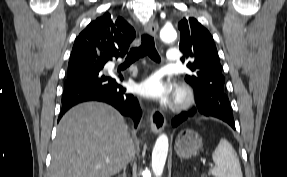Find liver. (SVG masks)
<instances>
[{
  "label": "liver",
  "mask_w": 287,
  "mask_h": 177,
  "mask_svg": "<svg viewBox=\"0 0 287 177\" xmlns=\"http://www.w3.org/2000/svg\"><path fill=\"white\" fill-rule=\"evenodd\" d=\"M133 155V141L117 110L99 102L79 104L59 122L48 177H111Z\"/></svg>",
  "instance_id": "liver-1"
}]
</instances>
